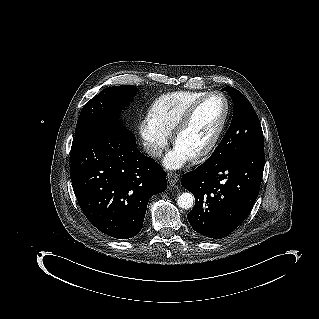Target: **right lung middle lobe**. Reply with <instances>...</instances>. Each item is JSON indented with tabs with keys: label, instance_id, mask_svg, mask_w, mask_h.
Listing matches in <instances>:
<instances>
[{
	"label": "right lung middle lobe",
	"instance_id": "dd1d6c3e",
	"mask_svg": "<svg viewBox=\"0 0 319 319\" xmlns=\"http://www.w3.org/2000/svg\"><path fill=\"white\" fill-rule=\"evenodd\" d=\"M133 85L108 87L86 103L79 115L75 136L103 127L122 126L119 115L136 94Z\"/></svg>",
	"mask_w": 319,
	"mask_h": 319
}]
</instances>
